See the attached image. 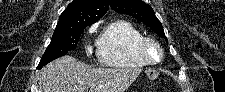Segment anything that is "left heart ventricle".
I'll list each match as a JSON object with an SVG mask.
<instances>
[{
    "instance_id": "obj_1",
    "label": "left heart ventricle",
    "mask_w": 225,
    "mask_h": 92,
    "mask_svg": "<svg viewBox=\"0 0 225 92\" xmlns=\"http://www.w3.org/2000/svg\"><path fill=\"white\" fill-rule=\"evenodd\" d=\"M149 55H150V57L154 58V57L156 56V51H155V49L151 48V49L149 50Z\"/></svg>"
}]
</instances>
